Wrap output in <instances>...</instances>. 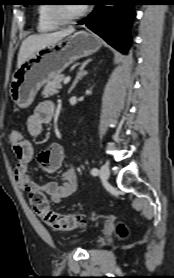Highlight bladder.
I'll return each instance as SVG.
<instances>
[{
  "instance_id": "obj_1",
  "label": "bladder",
  "mask_w": 174,
  "mask_h": 278,
  "mask_svg": "<svg viewBox=\"0 0 174 278\" xmlns=\"http://www.w3.org/2000/svg\"><path fill=\"white\" fill-rule=\"evenodd\" d=\"M82 240V238H77V239H75L73 242L74 243H77V242H80Z\"/></svg>"
}]
</instances>
